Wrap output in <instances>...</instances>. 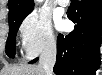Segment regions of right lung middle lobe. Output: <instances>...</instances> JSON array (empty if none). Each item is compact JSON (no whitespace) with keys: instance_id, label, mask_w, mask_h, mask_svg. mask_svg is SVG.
<instances>
[{"instance_id":"dd1d6c3e","label":"right lung middle lobe","mask_w":102,"mask_h":75,"mask_svg":"<svg viewBox=\"0 0 102 75\" xmlns=\"http://www.w3.org/2000/svg\"><path fill=\"white\" fill-rule=\"evenodd\" d=\"M31 11L23 12L20 14H16L13 16H9V35L6 42V54L13 58L15 56V39L16 34L19 29L20 24L22 23L23 19L30 13Z\"/></svg>"}]
</instances>
